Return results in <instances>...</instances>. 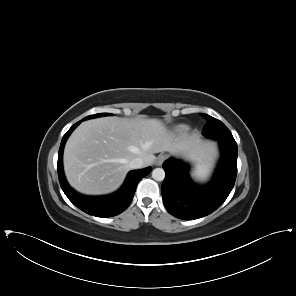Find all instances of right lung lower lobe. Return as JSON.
<instances>
[{"label":"right lung lower lobe","instance_id":"1","mask_svg":"<svg viewBox=\"0 0 296 296\" xmlns=\"http://www.w3.org/2000/svg\"><path fill=\"white\" fill-rule=\"evenodd\" d=\"M81 121L74 124L68 132L63 136L59 154H58V177L62 190L68 199L80 210L84 211L89 215H94L96 217H112L123 212L131 203L138 182L145 176H147L151 168H145L142 170L131 171L123 186L117 192L108 196H84L75 192L66 182L63 166H62V154L64 144L70 135V133L75 129V127Z\"/></svg>","mask_w":296,"mask_h":296}]
</instances>
